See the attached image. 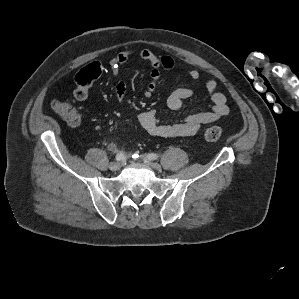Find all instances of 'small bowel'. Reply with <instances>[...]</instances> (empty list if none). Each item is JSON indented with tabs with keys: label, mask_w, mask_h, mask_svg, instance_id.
<instances>
[{
	"label": "small bowel",
	"mask_w": 299,
	"mask_h": 299,
	"mask_svg": "<svg viewBox=\"0 0 299 299\" xmlns=\"http://www.w3.org/2000/svg\"><path fill=\"white\" fill-rule=\"evenodd\" d=\"M133 55L140 57L150 65L151 80L144 92L146 97H150L156 89L161 69H172L175 65V61L171 56H158L149 49L125 50L110 61V67L114 77H120L121 67ZM100 74L101 65L98 62H93L80 70L76 76V89L74 91V97L77 101H85L88 98L89 88ZM189 77L193 80H197L200 77V73L197 69H191L189 71ZM216 88L217 83L215 80H209L206 83V89L211 93L212 101V106L207 111L189 115L181 122L167 124L159 121L155 110H146L138 115V121L142 128L153 136L165 138L193 136L203 125L214 122L229 113L226 96L223 93L216 92ZM115 91L119 102L123 103L126 96V84L122 80L117 83ZM193 95L194 90L192 88L175 87L167 98V105L172 110H179L182 108L184 101ZM109 150L115 151L116 146L110 144Z\"/></svg>",
	"instance_id": "small-bowel-1"
}]
</instances>
